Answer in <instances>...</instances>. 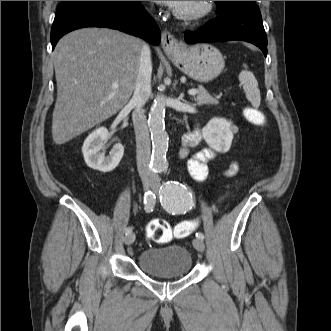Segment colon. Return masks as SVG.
Segmentation results:
<instances>
[{
  "mask_svg": "<svg viewBox=\"0 0 331 331\" xmlns=\"http://www.w3.org/2000/svg\"><path fill=\"white\" fill-rule=\"evenodd\" d=\"M247 119L255 125H264L266 122L262 112L249 108L245 112ZM195 222L183 221L172 228L166 221L161 219L152 220L147 226V236L157 243H165L173 237L184 238L189 236L195 229Z\"/></svg>",
  "mask_w": 331,
  "mask_h": 331,
  "instance_id": "1",
  "label": "colon"
}]
</instances>
